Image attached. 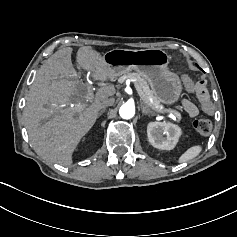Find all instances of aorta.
<instances>
[{"mask_svg":"<svg viewBox=\"0 0 237 237\" xmlns=\"http://www.w3.org/2000/svg\"><path fill=\"white\" fill-rule=\"evenodd\" d=\"M119 114L123 119H131L135 114V107L130 103L123 104L119 109Z\"/></svg>","mask_w":237,"mask_h":237,"instance_id":"obj_1","label":"aorta"}]
</instances>
